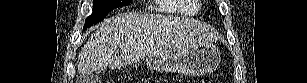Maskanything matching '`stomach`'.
Returning <instances> with one entry per match:
<instances>
[{
	"label": "stomach",
	"instance_id": "0dacf381",
	"mask_svg": "<svg viewBox=\"0 0 307 83\" xmlns=\"http://www.w3.org/2000/svg\"><path fill=\"white\" fill-rule=\"evenodd\" d=\"M220 60L218 48L211 43H203L180 50L176 54L150 55L146 58V65L155 71L204 76L212 73Z\"/></svg>",
	"mask_w": 307,
	"mask_h": 83
}]
</instances>
